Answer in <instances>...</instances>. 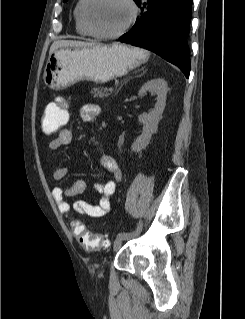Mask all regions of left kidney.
<instances>
[{
    "mask_svg": "<svg viewBox=\"0 0 245 319\" xmlns=\"http://www.w3.org/2000/svg\"><path fill=\"white\" fill-rule=\"evenodd\" d=\"M147 91L157 95V102L152 111L139 115V121L143 125V132L132 145V150L135 152H139L146 148L150 142L152 134L156 132L159 120L166 105L168 86L164 79H152L142 85L139 90V95H144Z\"/></svg>",
    "mask_w": 245,
    "mask_h": 319,
    "instance_id": "5707ae66",
    "label": "left kidney"
}]
</instances>
